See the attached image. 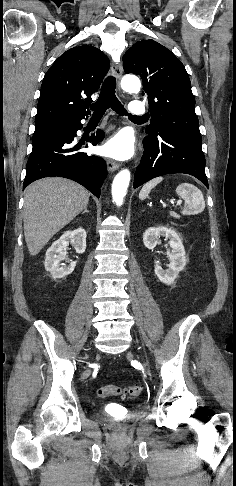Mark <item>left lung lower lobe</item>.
<instances>
[{"label": "left lung lower lobe", "mask_w": 236, "mask_h": 486, "mask_svg": "<svg viewBox=\"0 0 236 486\" xmlns=\"http://www.w3.org/2000/svg\"><path fill=\"white\" fill-rule=\"evenodd\" d=\"M202 138L180 131L160 132L143 140L144 154L137 167L133 187L166 174H190L208 187Z\"/></svg>", "instance_id": "0a47b994"}]
</instances>
